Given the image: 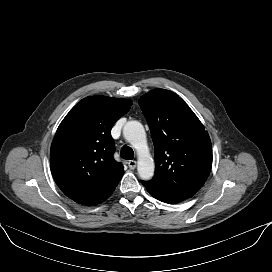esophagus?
<instances>
[{
  "label": "esophagus",
  "instance_id": "1",
  "mask_svg": "<svg viewBox=\"0 0 272 272\" xmlns=\"http://www.w3.org/2000/svg\"><path fill=\"white\" fill-rule=\"evenodd\" d=\"M137 162L135 160L128 161V166L130 169L134 170L136 168Z\"/></svg>",
  "mask_w": 272,
  "mask_h": 272
}]
</instances>
